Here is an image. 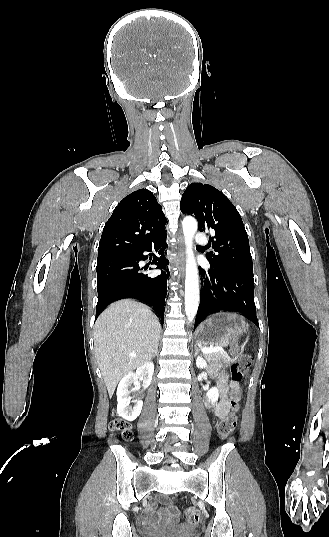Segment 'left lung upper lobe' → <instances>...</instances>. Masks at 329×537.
I'll return each mask as SVG.
<instances>
[{
  "instance_id": "obj_1",
  "label": "left lung upper lobe",
  "mask_w": 329,
  "mask_h": 537,
  "mask_svg": "<svg viewBox=\"0 0 329 537\" xmlns=\"http://www.w3.org/2000/svg\"><path fill=\"white\" fill-rule=\"evenodd\" d=\"M180 210L195 216L199 231H210L209 241L216 252L206 256L210 266L253 275L247 232L239 212L222 192L192 183L182 195Z\"/></svg>"
}]
</instances>
